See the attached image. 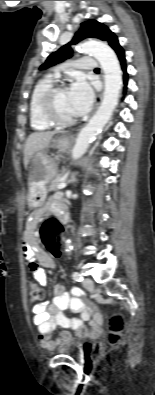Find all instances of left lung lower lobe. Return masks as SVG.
I'll return each instance as SVG.
<instances>
[{
    "label": "left lung lower lobe",
    "mask_w": 155,
    "mask_h": 395,
    "mask_svg": "<svg viewBox=\"0 0 155 395\" xmlns=\"http://www.w3.org/2000/svg\"><path fill=\"white\" fill-rule=\"evenodd\" d=\"M117 55H118L119 61L121 63L122 71L124 72L123 80H124V85H125V88H124V93H125L126 86H127V81H128V74H127V71H126L127 66H126L125 53H124V51H120V52L117 53Z\"/></svg>",
    "instance_id": "obj_1"
}]
</instances>
